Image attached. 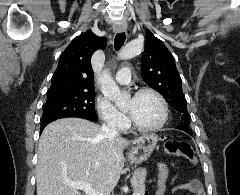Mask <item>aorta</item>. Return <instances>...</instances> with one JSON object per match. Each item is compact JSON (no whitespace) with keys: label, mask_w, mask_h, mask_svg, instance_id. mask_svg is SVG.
Instances as JSON below:
<instances>
[{"label":"aorta","mask_w":240,"mask_h":195,"mask_svg":"<svg viewBox=\"0 0 240 195\" xmlns=\"http://www.w3.org/2000/svg\"><path fill=\"white\" fill-rule=\"evenodd\" d=\"M143 50V42H137V40H132L129 44H126L125 48L119 52L118 56L120 60H130V58H135L139 52ZM100 90L105 96V98L111 99L116 105H119L121 99H123V94L114 82L113 78L110 76L109 70H103L102 76H100Z\"/></svg>","instance_id":"762f6f07"}]
</instances>
